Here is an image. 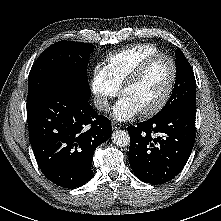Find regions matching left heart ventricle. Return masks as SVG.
I'll return each mask as SVG.
<instances>
[{"label":"left heart ventricle","instance_id":"1","mask_svg":"<svg viewBox=\"0 0 221 221\" xmlns=\"http://www.w3.org/2000/svg\"><path fill=\"white\" fill-rule=\"evenodd\" d=\"M171 64L166 58L155 59L123 95L128 97L140 111L155 106L165 94L171 79Z\"/></svg>","mask_w":221,"mask_h":221}]
</instances>
